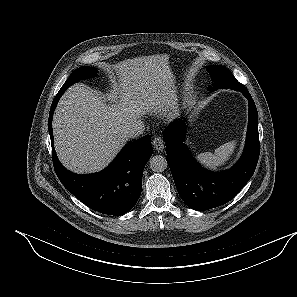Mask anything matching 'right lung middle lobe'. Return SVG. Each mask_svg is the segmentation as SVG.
<instances>
[{"instance_id": "1", "label": "right lung middle lobe", "mask_w": 297, "mask_h": 297, "mask_svg": "<svg viewBox=\"0 0 297 297\" xmlns=\"http://www.w3.org/2000/svg\"><path fill=\"white\" fill-rule=\"evenodd\" d=\"M96 69L94 67L83 66L76 69L68 80L64 83L61 89L66 90L69 86L77 82L79 79L93 78L96 76Z\"/></svg>"}]
</instances>
